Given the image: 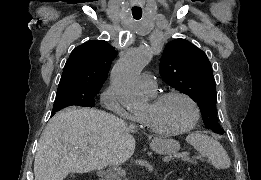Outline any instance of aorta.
Segmentation results:
<instances>
[{
	"instance_id": "762f6f07",
	"label": "aorta",
	"mask_w": 261,
	"mask_h": 180,
	"mask_svg": "<svg viewBox=\"0 0 261 180\" xmlns=\"http://www.w3.org/2000/svg\"><path fill=\"white\" fill-rule=\"evenodd\" d=\"M151 57L150 49L140 46L122 56L111 71L114 92L120 104L129 111L139 110L145 103L137 81Z\"/></svg>"
}]
</instances>
